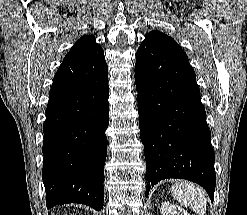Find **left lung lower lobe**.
Masks as SVG:
<instances>
[{
  "label": "left lung lower lobe",
  "mask_w": 247,
  "mask_h": 215,
  "mask_svg": "<svg viewBox=\"0 0 247 215\" xmlns=\"http://www.w3.org/2000/svg\"><path fill=\"white\" fill-rule=\"evenodd\" d=\"M140 137L146 159V196L166 178L201 185L214 199V150L196 76L185 52L145 39L137 50Z\"/></svg>",
  "instance_id": "1"
}]
</instances>
